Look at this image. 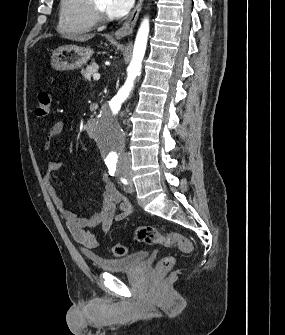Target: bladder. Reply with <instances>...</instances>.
I'll list each match as a JSON object with an SVG mask.
<instances>
[{
    "mask_svg": "<svg viewBox=\"0 0 285 335\" xmlns=\"http://www.w3.org/2000/svg\"><path fill=\"white\" fill-rule=\"evenodd\" d=\"M147 257V251L141 249L124 257L93 258L92 264L98 265L106 273H133L140 265L145 264Z\"/></svg>",
    "mask_w": 285,
    "mask_h": 335,
    "instance_id": "bladder-1",
    "label": "bladder"
}]
</instances>
